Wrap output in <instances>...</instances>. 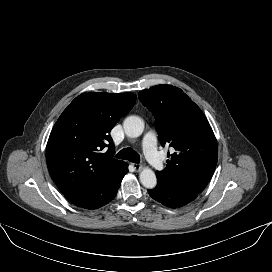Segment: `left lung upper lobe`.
I'll use <instances>...</instances> for the list:
<instances>
[{
	"instance_id": "5c2ea615",
	"label": "left lung upper lobe",
	"mask_w": 272,
	"mask_h": 272,
	"mask_svg": "<svg viewBox=\"0 0 272 272\" xmlns=\"http://www.w3.org/2000/svg\"><path fill=\"white\" fill-rule=\"evenodd\" d=\"M139 100L155 117L162 146L168 153L166 168L157 171L158 181L173 182L202 191L218 160L217 141L201 109L179 88L157 85L140 91Z\"/></svg>"
}]
</instances>
